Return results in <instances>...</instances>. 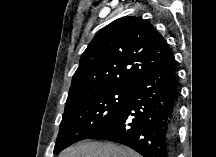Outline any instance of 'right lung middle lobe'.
Listing matches in <instances>:
<instances>
[{
    "mask_svg": "<svg viewBox=\"0 0 216 157\" xmlns=\"http://www.w3.org/2000/svg\"><path fill=\"white\" fill-rule=\"evenodd\" d=\"M132 86L94 90L73 99L65 106L54 152L89 139L110 123L126 106Z\"/></svg>",
    "mask_w": 216,
    "mask_h": 157,
    "instance_id": "dd1d6c3e",
    "label": "right lung middle lobe"
}]
</instances>
